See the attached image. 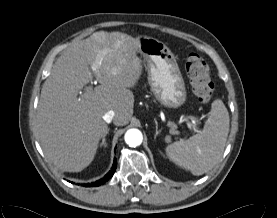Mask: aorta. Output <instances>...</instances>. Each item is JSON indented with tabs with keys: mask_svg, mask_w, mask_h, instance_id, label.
I'll return each mask as SVG.
<instances>
[{
	"mask_svg": "<svg viewBox=\"0 0 277 218\" xmlns=\"http://www.w3.org/2000/svg\"><path fill=\"white\" fill-rule=\"evenodd\" d=\"M125 142L130 146V147H137L139 145H141L142 140H143V136L140 130L138 129H129L126 133H125Z\"/></svg>",
	"mask_w": 277,
	"mask_h": 218,
	"instance_id": "obj_1",
	"label": "aorta"
}]
</instances>
